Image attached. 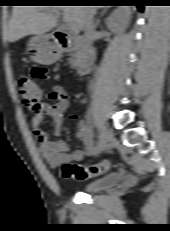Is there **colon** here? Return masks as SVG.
Wrapping results in <instances>:
<instances>
[{"mask_svg": "<svg viewBox=\"0 0 170 231\" xmlns=\"http://www.w3.org/2000/svg\"><path fill=\"white\" fill-rule=\"evenodd\" d=\"M17 87L23 103L31 111H36L41 103V91L36 82L28 76H21L17 81ZM110 165L108 160L88 167L75 163H65L61 166V174L67 179L83 181L105 173Z\"/></svg>", "mask_w": 170, "mask_h": 231, "instance_id": "5ec220e1", "label": "colon"}]
</instances>
